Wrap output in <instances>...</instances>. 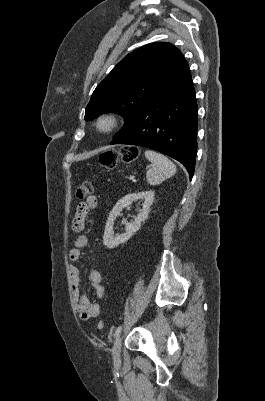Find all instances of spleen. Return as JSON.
I'll return each instance as SVG.
<instances>
[{"label": "spleen", "mask_w": 265, "mask_h": 401, "mask_svg": "<svg viewBox=\"0 0 265 401\" xmlns=\"http://www.w3.org/2000/svg\"><path fill=\"white\" fill-rule=\"evenodd\" d=\"M145 156L152 162V166L147 170L146 174L148 184H152V186L160 184V182L175 174V164L167 156H164V154L155 152V150H145Z\"/></svg>", "instance_id": "spleen-1"}]
</instances>
